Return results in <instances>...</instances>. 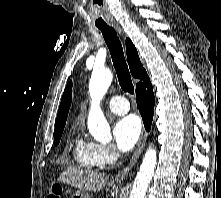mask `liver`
I'll return each mask as SVG.
<instances>
[{"label":"liver","instance_id":"1","mask_svg":"<svg viewBox=\"0 0 221 198\" xmlns=\"http://www.w3.org/2000/svg\"><path fill=\"white\" fill-rule=\"evenodd\" d=\"M59 182L67 183L83 191H101L107 184L108 177L104 173L76 168L66 169L58 178Z\"/></svg>","mask_w":221,"mask_h":198}]
</instances>
